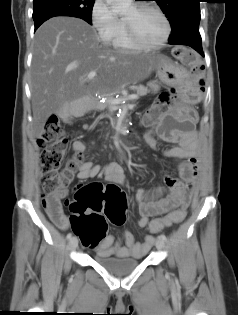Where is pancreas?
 <instances>
[{
    "mask_svg": "<svg viewBox=\"0 0 238 315\" xmlns=\"http://www.w3.org/2000/svg\"><path fill=\"white\" fill-rule=\"evenodd\" d=\"M135 91H136L138 96H145L149 92L148 88L143 86V85H139V86L135 87ZM111 99H113V97L109 96L106 105H108L110 103Z\"/></svg>",
    "mask_w": 238,
    "mask_h": 315,
    "instance_id": "cf45deb5",
    "label": "pancreas"
}]
</instances>
